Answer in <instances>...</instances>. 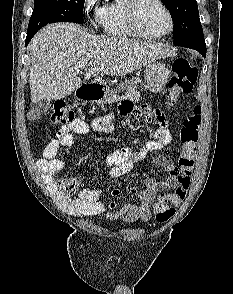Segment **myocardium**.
<instances>
[{"label": "myocardium", "mask_w": 233, "mask_h": 294, "mask_svg": "<svg viewBox=\"0 0 233 294\" xmlns=\"http://www.w3.org/2000/svg\"><path fill=\"white\" fill-rule=\"evenodd\" d=\"M157 2L165 11L168 21H169V26L166 31H164L161 34L157 35H152L146 33L140 26L139 21H138V10L140 5L144 2V0H128V5H127V19L128 23L131 27V29L140 37L145 38V39H151V40H156V39H161L169 35L174 28V18L173 14L168 7V5L163 1V0H154Z\"/></svg>", "instance_id": "obj_1"}]
</instances>
